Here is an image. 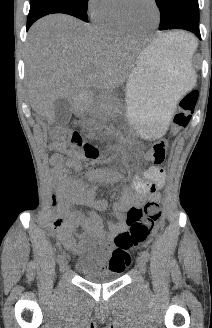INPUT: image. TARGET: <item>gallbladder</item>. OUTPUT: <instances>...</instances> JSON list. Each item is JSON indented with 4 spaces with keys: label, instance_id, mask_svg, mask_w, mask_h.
<instances>
[{
    "label": "gallbladder",
    "instance_id": "obj_1",
    "mask_svg": "<svg viewBox=\"0 0 212 328\" xmlns=\"http://www.w3.org/2000/svg\"><path fill=\"white\" fill-rule=\"evenodd\" d=\"M55 123L66 125L72 116L73 101L66 98H59L54 103Z\"/></svg>",
    "mask_w": 212,
    "mask_h": 328
}]
</instances>
